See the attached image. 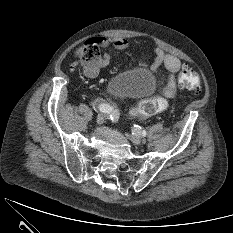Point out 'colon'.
<instances>
[{
    "label": "colon",
    "instance_id": "1",
    "mask_svg": "<svg viewBox=\"0 0 233 233\" xmlns=\"http://www.w3.org/2000/svg\"><path fill=\"white\" fill-rule=\"evenodd\" d=\"M100 45L95 40L87 41L79 51V60L84 64H94L100 60ZM179 87L181 89L197 91L200 89V78L196 72L188 68L181 70L179 75ZM167 106L165 99L153 97L141 101L136 105L131 115L136 118H147L162 112Z\"/></svg>",
    "mask_w": 233,
    "mask_h": 233
}]
</instances>
